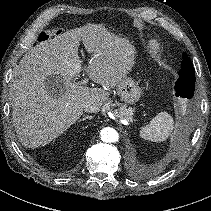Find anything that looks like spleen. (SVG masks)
Wrapping results in <instances>:
<instances>
[{"label":"spleen","mask_w":211,"mask_h":211,"mask_svg":"<svg viewBox=\"0 0 211 211\" xmlns=\"http://www.w3.org/2000/svg\"><path fill=\"white\" fill-rule=\"evenodd\" d=\"M174 129V121L170 114L167 112L158 113L150 123L142 127L140 136L152 142L165 141Z\"/></svg>","instance_id":"1"}]
</instances>
